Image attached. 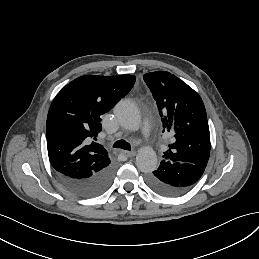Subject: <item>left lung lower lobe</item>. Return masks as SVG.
Listing matches in <instances>:
<instances>
[{"mask_svg":"<svg viewBox=\"0 0 259 259\" xmlns=\"http://www.w3.org/2000/svg\"><path fill=\"white\" fill-rule=\"evenodd\" d=\"M204 170L191 163L162 160L159 168L149 174L146 181L156 193L177 197L187 193L201 178Z\"/></svg>","mask_w":259,"mask_h":259,"instance_id":"1","label":"left lung lower lobe"}]
</instances>
